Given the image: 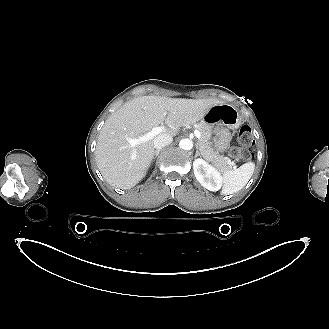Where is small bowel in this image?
<instances>
[{
  "mask_svg": "<svg viewBox=\"0 0 329 329\" xmlns=\"http://www.w3.org/2000/svg\"><path fill=\"white\" fill-rule=\"evenodd\" d=\"M230 142V134L223 129H219L217 132L216 144L218 149L225 150Z\"/></svg>",
  "mask_w": 329,
  "mask_h": 329,
  "instance_id": "small-bowel-1",
  "label": "small bowel"
}]
</instances>
